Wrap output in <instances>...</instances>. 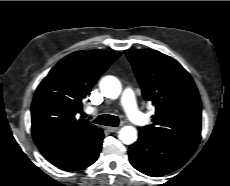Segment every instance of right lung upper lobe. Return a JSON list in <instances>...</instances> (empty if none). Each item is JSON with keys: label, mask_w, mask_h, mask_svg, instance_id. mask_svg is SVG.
Wrapping results in <instances>:
<instances>
[{"label": "right lung upper lobe", "mask_w": 230, "mask_h": 186, "mask_svg": "<svg viewBox=\"0 0 230 186\" xmlns=\"http://www.w3.org/2000/svg\"><path fill=\"white\" fill-rule=\"evenodd\" d=\"M120 55L105 50L71 53L38 86L31 106L32 134L54 165L62 168L77 160L101 136L102 129L77 114L82 113V99Z\"/></svg>", "instance_id": "right-lung-upper-lobe-1"}]
</instances>
